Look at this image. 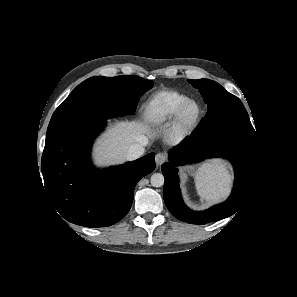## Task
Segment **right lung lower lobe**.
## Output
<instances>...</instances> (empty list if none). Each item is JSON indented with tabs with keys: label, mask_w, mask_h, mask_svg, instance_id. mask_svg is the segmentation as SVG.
Listing matches in <instances>:
<instances>
[{
	"label": "right lung lower lobe",
	"mask_w": 297,
	"mask_h": 297,
	"mask_svg": "<svg viewBox=\"0 0 297 297\" xmlns=\"http://www.w3.org/2000/svg\"><path fill=\"white\" fill-rule=\"evenodd\" d=\"M105 123H89L45 144L41 160L51 202L69 222L85 227L120 221L131 207L137 182L155 169L153 153L106 170L95 169L90 148Z\"/></svg>",
	"instance_id": "obj_1"
}]
</instances>
